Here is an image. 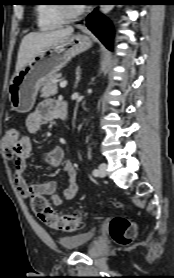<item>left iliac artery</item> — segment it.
Instances as JSON below:
<instances>
[{
    "instance_id": "1",
    "label": "left iliac artery",
    "mask_w": 174,
    "mask_h": 278,
    "mask_svg": "<svg viewBox=\"0 0 174 278\" xmlns=\"http://www.w3.org/2000/svg\"><path fill=\"white\" fill-rule=\"evenodd\" d=\"M98 174H99L98 170H97V169H94V170H93V175H94V176H98Z\"/></svg>"
}]
</instances>
